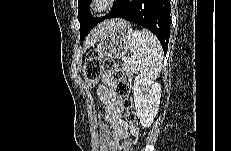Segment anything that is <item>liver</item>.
I'll list each match as a JSON object with an SVG mask.
<instances>
[{
    "label": "liver",
    "instance_id": "obj_1",
    "mask_svg": "<svg viewBox=\"0 0 231 151\" xmlns=\"http://www.w3.org/2000/svg\"><path fill=\"white\" fill-rule=\"evenodd\" d=\"M127 24L126 21L122 19H112L104 21L103 23L99 24L90 34V36L85 41V48L90 47L91 45L95 44L97 41L101 39V37L112 28L122 27Z\"/></svg>",
    "mask_w": 231,
    "mask_h": 151
}]
</instances>
